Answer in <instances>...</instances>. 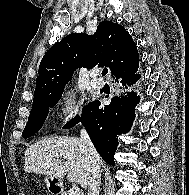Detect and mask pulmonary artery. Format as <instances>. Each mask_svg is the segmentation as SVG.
I'll list each match as a JSON object with an SVG mask.
<instances>
[{
  "mask_svg": "<svg viewBox=\"0 0 189 195\" xmlns=\"http://www.w3.org/2000/svg\"><path fill=\"white\" fill-rule=\"evenodd\" d=\"M91 86L94 89H101L104 86L103 80L99 78L98 74H93L91 79Z\"/></svg>",
  "mask_w": 189,
  "mask_h": 195,
  "instance_id": "1",
  "label": "pulmonary artery"
}]
</instances>
